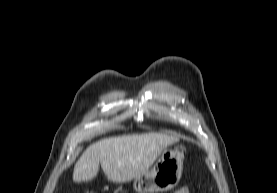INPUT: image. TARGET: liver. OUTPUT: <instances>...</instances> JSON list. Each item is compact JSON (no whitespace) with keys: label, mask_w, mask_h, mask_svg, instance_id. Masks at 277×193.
Returning <instances> with one entry per match:
<instances>
[{"label":"liver","mask_w":277,"mask_h":193,"mask_svg":"<svg viewBox=\"0 0 277 193\" xmlns=\"http://www.w3.org/2000/svg\"><path fill=\"white\" fill-rule=\"evenodd\" d=\"M178 138L160 133L122 135L91 144L76 162L74 182L95 178L101 168L108 180L128 182L146 173L161 152Z\"/></svg>","instance_id":"1"}]
</instances>
